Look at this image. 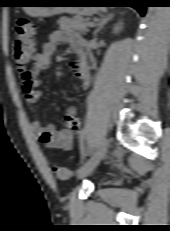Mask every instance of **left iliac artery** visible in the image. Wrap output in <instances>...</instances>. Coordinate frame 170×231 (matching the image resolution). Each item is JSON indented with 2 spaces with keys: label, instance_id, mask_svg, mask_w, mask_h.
<instances>
[{
  "label": "left iliac artery",
  "instance_id": "44dca946",
  "mask_svg": "<svg viewBox=\"0 0 170 231\" xmlns=\"http://www.w3.org/2000/svg\"><path fill=\"white\" fill-rule=\"evenodd\" d=\"M86 132H87V129H86V128H84V129H82V130L80 131V139H81V141H82V153H83V159H84V156H85V152H84V144H83V142H84V138H85V134H86Z\"/></svg>",
  "mask_w": 170,
  "mask_h": 231
}]
</instances>
